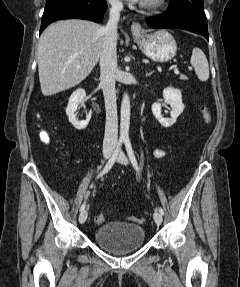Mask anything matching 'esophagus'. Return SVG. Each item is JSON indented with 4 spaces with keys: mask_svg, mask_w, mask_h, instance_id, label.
<instances>
[{
    "mask_svg": "<svg viewBox=\"0 0 240 287\" xmlns=\"http://www.w3.org/2000/svg\"><path fill=\"white\" fill-rule=\"evenodd\" d=\"M131 31L134 35H140L142 33V27L140 23L133 22L131 26Z\"/></svg>",
    "mask_w": 240,
    "mask_h": 287,
    "instance_id": "1",
    "label": "esophagus"
}]
</instances>
